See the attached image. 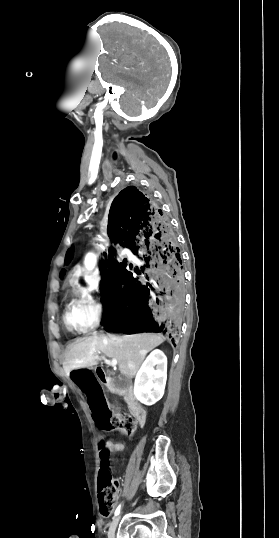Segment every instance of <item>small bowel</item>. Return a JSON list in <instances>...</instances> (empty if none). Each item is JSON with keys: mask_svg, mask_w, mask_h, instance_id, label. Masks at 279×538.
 <instances>
[{"mask_svg": "<svg viewBox=\"0 0 279 538\" xmlns=\"http://www.w3.org/2000/svg\"><path fill=\"white\" fill-rule=\"evenodd\" d=\"M110 449L113 453H118L124 449V445L118 442H108Z\"/></svg>", "mask_w": 279, "mask_h": 538, "instance_id": "small-bowel-1", "label": "small bowel"}]
</instances>
